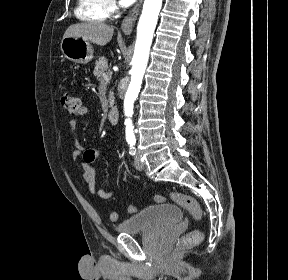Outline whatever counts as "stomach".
I'll return each instance as SVG.
<instances>
[{"instance_id": "1", "label": "stomach", "mask_w": 288, "mask_h": 280, "mask_svg": "<svg viewBox=\"0 0 288 280\" xmlns=\"http://www.w3.org/2000/svg\"><path fill=\"white\" fill-rule=\"evenodd\" d=\"M63 55L78 64H86L93 58V49L89 41L77 37H65L61 41Z\"/></svg>"}]
</instances>
